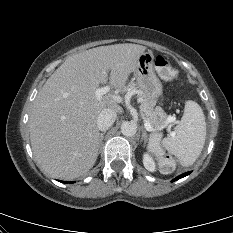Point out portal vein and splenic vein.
Instances as JSON below:
<instances>
[{"label": "portal vein and splenic vein", "mask_w": 233, "mask_h": 233, "mask_svg": "<svg viewBox=\"0 0 233 233\" xmlns=\"http://www.w3.org/2000/svg\"><path fill=\"white\" fill-rule=\"evenodd\" d=\"M109 91H110V86H105V87L98 88V89H96V91H95V96H96V98H97L98 100H100V99L103 97V95L107 94ZM113 99H114L115 101H120V98L117 97V96H114ZM141 111H142V109H141ZM143 119H144V127H145V129H146L148 132H154V131H156V129L153 128V126L150 124V122L148 121V119H147L146 117H144ZM168 121H169V122H172V121H173V118H172V117L167 118L165 124H163V125L159 128V130H162L163 128H165V127L167 126V122H168Z\"/></svg>", "instance_id": "1"}]
</instances>
